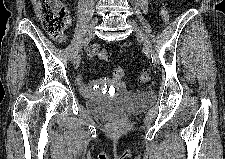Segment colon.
Masks as SVG:
<instances>
[{"label":"colon","mask_w":225,"mask_h":159,"mask_svg":"<svg viewBox=\"0 0 225 159\" xmlns=\"http://www.w3.org/2000/svg\"><path fill=\"white\" fill-rule=\"evenodd\" d=\"M36 9L46 32L56 38H62L70 23L66 5L61 0H37ZM160 17L163 22L169 20V11L165 5L160 8ZM96 55L102 61H107L110 58L109 51L105 49H98ZM112 74L115 79L120 80L124 77L125 70L117 66L113 69ZM151 79L152 73L149 70H144L139 77L141 83L149 82Z\"/></svg>","instance_id":"5ec220e1"}]
</instances>
